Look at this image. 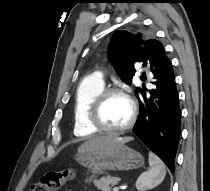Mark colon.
I'll return each mask as SVG.
<instances>
[{
	"mask_svg": "<svg viewBox=\"0 0 210 191\" xmlns=\"http://www.w3.org/2000/svg\"><path fill=\"white\" fill-rule=\"evenodd\" d=\"M74 177L75 172L72 169L50 171L31 187V191H59L66 183L73 180Z\"/></svg>",
	"mask_w": 210,
	"mask_h": 191,
	"instance_id": "colon-1",
	"label": "colon"
}]
</instances>
